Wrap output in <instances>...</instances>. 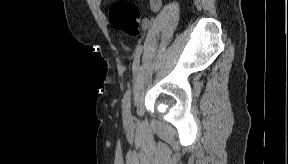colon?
Instances as JSON below:
<instances>
[{
  "mask_svg": "<svg viewBox=\"0 0 288 164\" xmlns=\"http://www.w3.org/2000/svg\"><path fill=\"white\" fill-rule=\"evenodd\" d=\"M109 21L132 37L140 34L141 14L138 7L128 0H116L108 9Z\"/></svg>",
  "mask_w": 288,
  "mask_h": 164,
  "instance_id": "obj_1",
  "label": "colon"
}]
</instances>
